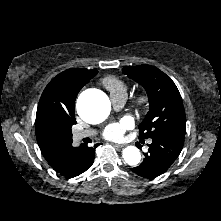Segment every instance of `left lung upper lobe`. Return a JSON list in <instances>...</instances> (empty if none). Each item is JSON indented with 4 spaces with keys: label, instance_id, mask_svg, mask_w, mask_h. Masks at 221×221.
<instances>
[{
    "label": "left lung upper lobe",
    "instance_id": "obj_1",
    "mask_svg": "<svg viewBox=\"0 0 221 221\" xmlns=\"http://www.w3.org/2000/svg\"><path fill=\"white\" fill-rule=\"evenodd\" d=\"M123 73L146 90L150 109L139 125V138L156 135L185 136L186 116L181 95L172 79L156 67H124Z\"/></svg>",
    "mask_w": 221,
    "mask_h": 221
}]
</instances>
